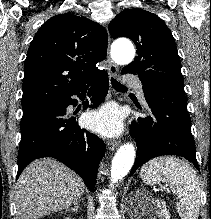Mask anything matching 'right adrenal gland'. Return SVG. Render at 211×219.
Masks as SVG:
<instances>
[{
	"label": "right adrenal gland",
	"instance_id": "2a0ac1e0",
	"mask_svg": "<svg viewBox=\"0 0 211 219\" xmlns=\"http://www.w3.org/2000/svg\"><path fill=\"white\" fill-rule=\"evenodd\" d=\"M70 210H72V211L77 213L78 212V202L74 203V207H70V208L66 209V211H70Z\"/></svg>",
	"mask_w": 211,
	"mask_h": 219
}]
</instances>
